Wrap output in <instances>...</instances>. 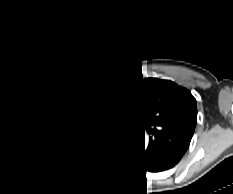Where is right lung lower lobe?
Instances as JSON below:
<instances>
[{
    "label": "right lung lower lobe",
    "mask_w": 233,
    "mask_h": 194,
    "mask_svg": "<svg viewBox=\"0 0 233 194\" xmlns=\"http://www.w3.org/2000/svg\"><path fill=\"white\" fill-rule=\"evenodd\" d=\"M62 155V154H61ZM100 152H98V154L93 158V160H91L90 162L87 163H82V164H93L95 162H97L98 158H99ZM63 156V155H62ZM64 157V156H63ZM65 158V157H64ZM66 159V158H65Z\"/></svg>",
    "instance_id": "1"
}]
</instances>
